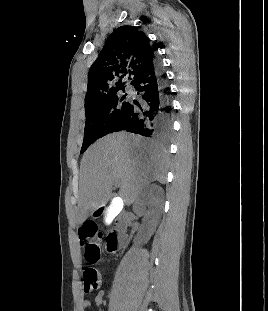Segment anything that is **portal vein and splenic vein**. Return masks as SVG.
Masks as SVG:
<instances>
[{
    "label": "portal vein and splenic vein",
    "mask_w": 268,
    "mask_h": 311,
    "mask_svg": "<svg viewBox=\"0 0 268 311\" xmlns=\"http://www.w3.org/2000/svg\"><path fill=\"white\" fill-rule=\"evenodd\" d=\"M115 186H118V182L115 183ZM117 199H119V198H116L115 200H117Z\"/></svg>",
    "instance_id": "18ae733b"
}]
</instances>
